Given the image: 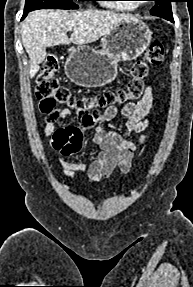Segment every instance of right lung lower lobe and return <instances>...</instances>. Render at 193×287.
Here are the masks:
<instances>
[{"instance_id":"right-lung-lower-lobe-1","label":"right lung lower lobe","mask_w":193,"mask_h":287,"mask_svg":"<svg viewBox=\"0 0 193 287\" xmlns=\"http://www.w3.org/2000/svg\"><path fill=\"white\" fill-rule=\"evenodd\" d=\"M27 14H28V12H27V11H24V14H23V16H22V19H24Z\"/></svg>"}]
</instances>
